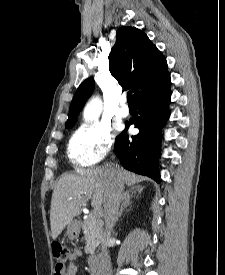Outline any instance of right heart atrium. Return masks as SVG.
Wrapping results in <instances>:
<instances>
[{"instance_id":"1","label":"right heart atrium","mask_w":225,"mask_h":275,"mask_svg":"<svg viewBox=\"0 0 225 275\" xmlns=\"http://www.w3.org/2000/svg\"><path fill=\"white\" fill-rule=\"evenodd\" d=\"M111 143L112 135L107 127H82L70 139V160L79 168H93L105 157Z\"/></svg>"}]
</instances>
